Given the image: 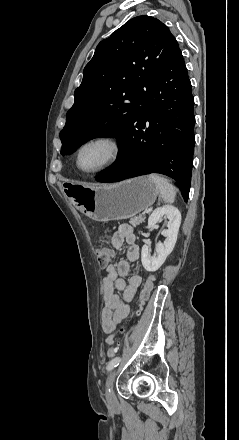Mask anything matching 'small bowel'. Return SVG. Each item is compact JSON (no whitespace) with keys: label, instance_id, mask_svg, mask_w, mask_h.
<instances>
[{"label":"small bowel","instance_id":"c3829d8e","mask_svg":"<svg viewBox=\"0 0 239 440\" xmlns=\"http://www.w3.org/2000/svg\"><path fill=\"white\" fill-rule=\"evenodd\" d=\"M111 242L115 249L120 248L124 243L128 245V249L126 260H121L117 264H110L105 268L103 278L104 307L101 311V324L103 331L109 335L107 338L108 344L113 343L117 326L128 316L130 311L128 303L133 300L142 282L138 274H133L128 280L125 279L130 270L137 264L140 256V249L136 244L133 227L128 224L120 225L113 232Z\"/></svg>","mask_w":239,"mask_h":440}]
</instances>
